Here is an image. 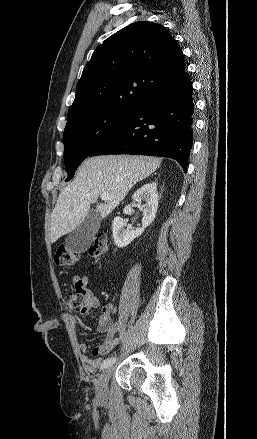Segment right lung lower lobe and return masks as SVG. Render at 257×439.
Instances as JSON below:
<instances>
[{
	"instance_id": "98d812e1",
	"label": "right lung lower lobe",
	"mask_w": 257,
	"mask_h": 439,
	"mask_svg": "<svg viewBox=\"0 0 257 439\" xmlns=\"http://www.w3.org/2000/svg\"><path fill=\"white\" fill-rule=\"evenodd\" d=\"M193 90L184 72L162 86L89 156L140 154L175 159L186 172L193 140Z\"/></svg>"
}]
</instances>
